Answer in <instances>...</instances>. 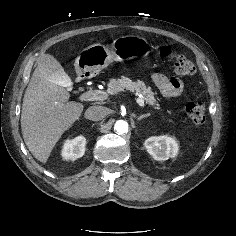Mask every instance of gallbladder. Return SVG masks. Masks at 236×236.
<instances>
[{"instance_id":"obj_1","label":"gallbladder","mask_w":236,"mask_h":236,"mask_svg":"<svg viewBox=\"0 0 236 236\" xmlns=\"http://www.w3.org/2000/svg\"><path fill=\"white\" fill-rule=\"evenodd\" d=\"M39 60L44 66L45 74L48 79L57 83H62L64 81L66 73L53 56L42 55Z\"/></svg>"}]
</instances>
